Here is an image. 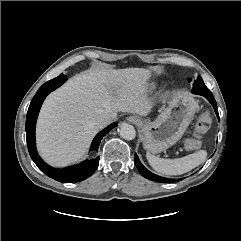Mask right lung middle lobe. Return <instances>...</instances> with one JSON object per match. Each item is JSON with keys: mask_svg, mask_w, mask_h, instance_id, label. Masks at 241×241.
<instances>
[{"mask_svg": "<svg viewBox=\"0 0 241 241\" xmlns=\"http://www.w3.org/2000/svg\"><path fill=\"white\" fill-rule=\"evenodd\" d=\"M66 77L63 75L58 76L57 78H54L48 82H46L45 84H43L39 90L37 91V93H43L46 91H53L56 88H58L59 86H61L65 81H66Z\"/></svg>", "mask_w": 241, "mask_h": 241, "instance_id": "obj_1", "label": "right lung middle lobe"}]
</instances>
